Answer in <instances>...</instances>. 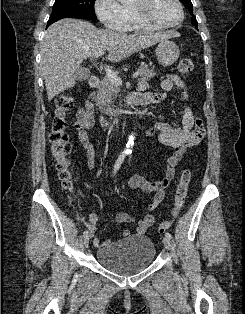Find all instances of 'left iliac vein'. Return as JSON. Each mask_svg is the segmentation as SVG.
Masks as SVG:
<instances>
[{"mask_svg":"<svg viewBox=\"0 0 245 314\" xmlns=\"http://www.w3.org/2000/svg\"><path fill=\"white\" fill-rule=\"evenodd\" d=\"M163 244L165 246L166 249H170V246H171V242H170V239L168 237H164L163 238Z\"/></svg>","mask_w":245,"mask_h":314,"instance_id":"1","label":"left iliac vein"}]
</instances>
